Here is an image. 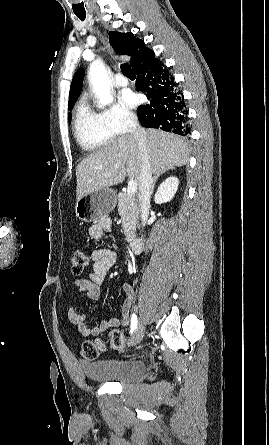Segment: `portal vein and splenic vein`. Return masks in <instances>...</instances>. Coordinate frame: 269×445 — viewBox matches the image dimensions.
<instances>
[{
	"instance_id": "obj_1",
	"label": "portal vein and splenic vein",
	"mask_w": 269,
	"mask_h": 445,
	"mask_svg": "<svg viewBox=\"0 0 269 445\" xmlns=\"http://www.w3.org/2000/svg\"><path fill=\"white\" fill-rule=\"evenodd\" d=\"M136 191H137V181L131 179V180L128 182V190H127V194H128L129 196H134V194H135Z\"/></svg>"
}]
</instances>
